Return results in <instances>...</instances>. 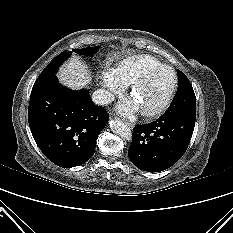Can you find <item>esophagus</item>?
<instances>
[{
  "mask_svg": "<svg viewBox=\"0 0 233 233\" xmlns=\"http://www.w3.org/2000/svg\"><path fill=\"white\" fill-rule=\"evenodd\" d=\"M125 123H126V125H127L128 127H131V128L133 127V124H132V123H130V122H128V121L125 122Z\"/></svg>",
  "mask_w": 233,
  "mask_h": 233,
  "instance_id": "34e87169",
  "label": "esophagus"
}]
</instances>
